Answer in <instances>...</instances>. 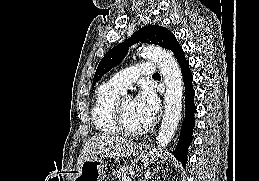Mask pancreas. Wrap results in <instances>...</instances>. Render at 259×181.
Returning a JSON list of instances; mask_svg holds the SVG:
<instances>
[{
  "label": "pancreas",
  "mask_w": 259,
  "mask_h": 181,
  "mask_svg": "<svg viewBox=\"0 0 259 181\" xmlns=\"http://www.w3.org/2000/svg\"><path fill=\"white\" fill-rule=\"evenodd\" d=\"M133 171V168L130 166H123L112 172L113 177L121 179L128 177L129 174Z\"/></svg>",
  "instance_id": "1"
}]
</instances>
